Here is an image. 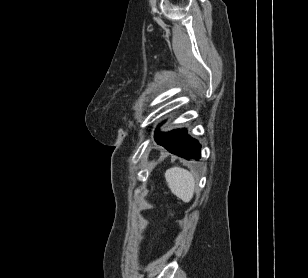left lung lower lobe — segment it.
Here are the masks:
<instances>
[{
	"mask_svg": "<svg viewBox=\"0 0 308 278\" xmlns=\"http://www.w3.org/2000/svg\"><path fill=\"white\" fill-rule=\"evenodd\" d=\"M154 138L157 144L175 155L186 159H200L201 146L197 140L189 137L184 129L173 130L168 134L157 133Z\"/></svg>",
	"mask_w": 308,
	"mask_h": 278,
	"instance_id": "1",
	"label": "left lung lower lobe"
}]
</instances>
